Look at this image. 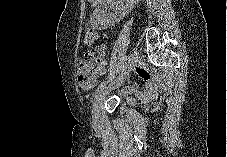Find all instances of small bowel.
I'll return each mask as SVG.
<instances>
[{
  "instance_id": "c3829d8e",
  "label": "small bowel",
  "mask_w": 227,
  "mask_h": 157,
  "mask_svg": "<svg viewBox=\"0 0 227 157\" xmlns=\"http://www.w3.org/2000/svg\"><path fill=\"white\" fill-rule=\"evenodd\" d=\"M105 66H106V62L104 59H102L99 62L98 67L96 68L94 82L89 88H93L97 84L98 78L101 75H103L106 71ZM134 71L136 72L138 77L141 79V81L143 83L142 87L139 88V86L137 84L128 85L121 90V93L127 99V101L131 104L135 103V99L131 98L130 95L136 96L141 102H146V101L150 100L151 98H153V96L155 95L156 85L151 80L150 75L144 69L135 68Z\"/></svg>"
}]
</instances>
